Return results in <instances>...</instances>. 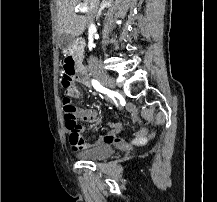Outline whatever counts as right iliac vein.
<instances>
[{"instance_id": "obj_1", "label": "right iliac vein", "mask_w": 217, "mask_h": 202, "mask_svg": "<svg viewBox=\"0 0 217 202\" xmlns=\"http://www.w3.org/2000/svg\"><path fill=\"white\" fill-rule=\"evenodd\" d=\"M94 77L103 85L108 86L110 88L114 87V82L113 80L105 73H98V74H93Z\"/></svg>"}]
</instances>
